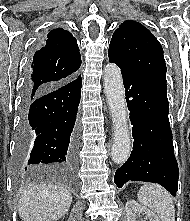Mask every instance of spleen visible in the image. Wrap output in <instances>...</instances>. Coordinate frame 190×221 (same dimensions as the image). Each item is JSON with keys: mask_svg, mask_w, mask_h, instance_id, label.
<instances>
[{"mask_svg": "<svg viewBox=\"0 0 190 221\" xmlns=\"http://www.w3.org/2000/svg\"><path fill=\"white\" fill-rule=\"evenodd\" d=\"M138 200L154 211L161 221H175V207L170 194L156 184H145L138 191Z\"/></svg>", "mask_w": 190, "mask_h": 221, "instance_id": "3e777b00", "label": "spleen"}]
</instances>
